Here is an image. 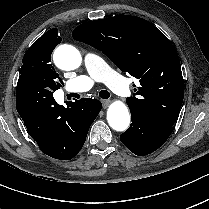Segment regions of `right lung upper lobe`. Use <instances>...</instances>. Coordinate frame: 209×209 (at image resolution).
I'll return each instance as SVG.
<instances>
[{
  "mask_svg": "<svg viewBox=\"0 0 209 209\" xmlns=\"http://www.w3.org/2000/svg\"><path fill=\"white\" fill-rule=\"evenodd\" d=\"M46 39L51 40L54 43H56V46L61 42V37L58 36V31L56 28H53V29L47 31L38 40H46ZM82 110H84V108H82L80 105L79 108H77V111H79L77 113V116L84 114V112H82Z\"/></svg>",
  "mask_w": 209,
  "mask_h": 209,
  "instance_id": "cb5924a9",
  "label": "right lung upper lobe"
}]
</instances>
